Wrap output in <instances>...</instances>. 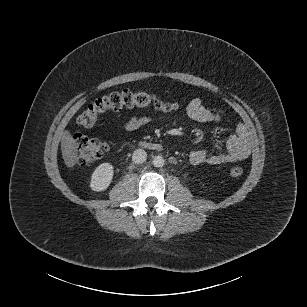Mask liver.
Instances as JSON below:
<instances>
[{"label": "liver", "instance_id": "liver-1", "mask_svg": "<svg viewBox=\"0 0 307 307\" xmlns=\"http://www.w3.org/2000/svg\"><path fill=\"white\" fill-rule=\"evenodd\" d=\"M79 144L72 138L69 131H64L61 135V151L67 167H73L79 160Z\"/></svg>", "mask_w": 307, "mask_h": 307}]
</instances>
